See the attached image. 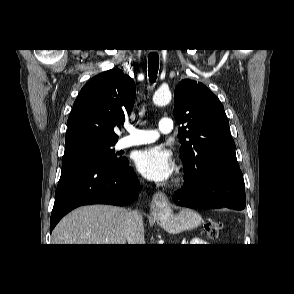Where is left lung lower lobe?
<instances>
[{
	"mask_svg": "<svg viewBox=\"0 0 294 294\" xmlns=\"http://www.w3.org/2000/svg\"><path fill=\"white\" fill-rule=\"evenodd\" d=\"M179 206L199 209L235 210L245 208V185L240 169L216 168L197 178L185 177L184 186L175 192Z\"/></svg>",
	"mask_w": 294,
	"mask_h": 294,
	"instance_id": "1",
	"label": "left lung lower lobe"
}]
</instances>
